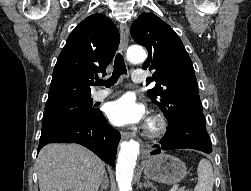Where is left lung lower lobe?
Instances as JSON below:
<instances>
[{"mask_svg":"<svg viewBox=\"0 0 251 191\" xmlns=\"http://www.w3.org/2000/svg\"><path fill=\"white\" fill-rule=\"evenodd\" d=\"M186 148L200 150L205 153L212 152V144L204 120L190 117L168 128L162 138L161 148L151 152V154L160 153L161 150Z\"/></svg>","mask_w":251,"mask_h":191,"instance_id":"obj_1","label":"left lung lower lobe"}]
</instances>
